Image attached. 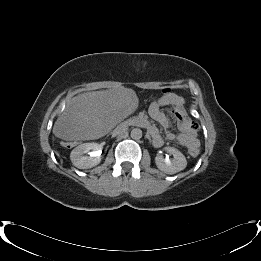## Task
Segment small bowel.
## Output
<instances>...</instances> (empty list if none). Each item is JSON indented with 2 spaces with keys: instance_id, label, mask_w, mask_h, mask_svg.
<instances>
[{
  "instance_id": "obj_1",
  "label": "small bowel",
  "mask_w": 261,
  "mask_h": 261,
  "mask_svg": "<svg viewBox=\"0 0 261 261\" xmlns=\"http://www.w3.org/2000/svg\"><path fill=\"white\" fill-rule=\"evenodd\" d=\"M164 107H171V115L173 117L178 119L180 116H183L186 120V122L183 124L178 122L181 128V132L179 134L167 132L166 138L168 140H174L188 148L190 146H199L197 132L195 128L192 127L189 118L186 116L181 98L174 94L168 93L165 94L158 101L153 102L149 108V116L152 118V120L158 123L159 125L168 128L170 126V118L168 114L165 112ZM136 121L138 124L147 127L149 133L152 136L153 143L155 146H161L163 144V138L155 125L150 123L146 118L142 117H138Z\"/></svg>"
}]
</instances>
